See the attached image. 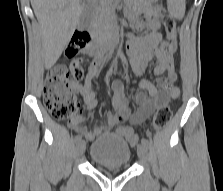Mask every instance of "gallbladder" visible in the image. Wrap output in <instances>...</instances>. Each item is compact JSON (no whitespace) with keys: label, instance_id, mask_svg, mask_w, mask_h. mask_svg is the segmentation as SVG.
Instances as JSON below:
<instances>
[{"label":"gallbladder","instance_id":"1","mask_svg":"<svg viewBox=\"0 0 223 191\" xmlns=\"http://www.w3.org/2000/svg\"><path fill=\"white\" fill-rule=\"evenodd\" d=\"M89 23V11L84 9L80 15L79 22L77 24L78 28H84Z\"/></svg>","mask_w":223,"mask_h":191}]
</instances>
